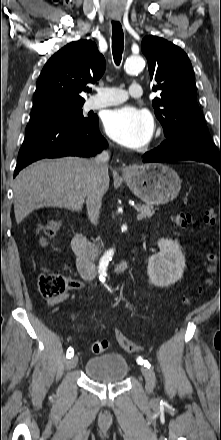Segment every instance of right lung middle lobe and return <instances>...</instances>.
<instances>
[{
  "label": "right lung middle lobe",
  "mask_w": 221,
  "mask_h": 440,
  "mask_svg": "<svg viewBox=\"0 0 221 440\" xmlns=\"http://www.w3.org/2000/svg\"><path fill=\"white\" fill-rule=\"evenodd\" d=\"M83 105H55L47 108L31 111L30 122L44 119H59L70 123H87L94 117H84L82 111Z\"/></svg>",
  "instance_id": "1"
}]
</instances>
